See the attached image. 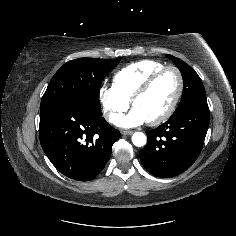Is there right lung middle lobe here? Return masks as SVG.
<instances>
[{
  "label": "right lung middle lobe",
  "instance_id": "dd1d6c3e",
  "mask_svg": "<svg viewBox=\"0 0 236 236\" xmlns=\"http://www.w3.org/2000/svg\"><path fill=\"white\" fill-rule=\"evenodd\" d=\"M120 60L79 58L68 61L52 77L42 97L40 109L67 100L100 112L101 83Z\"/></svg>",
  "mask_w": 236,
  "mask_h": 236
}]
</instances>
